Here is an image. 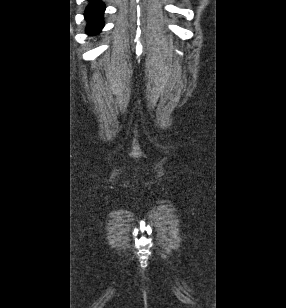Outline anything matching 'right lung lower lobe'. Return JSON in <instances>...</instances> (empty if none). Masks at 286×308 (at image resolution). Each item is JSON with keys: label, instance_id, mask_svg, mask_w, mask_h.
<instances>
[{"label": "right lung lower lobe", "instance_id": "right-lung-lower-lobe-1", "mask_svg": "<svg viewBox=\"0 0 286 308\" xmlns=\"http://www.w3.org/2000/svg\"><path fill=\"white\" fill-rule=\"evenodd\" d=\"M90 4L85 10V19L88 21L86 33L89 35L98 34L104 27L103 13L105 5L99 0H89Z\"/></svg>", "mask_w": 286, "mask_h": 308}]
</instances>
